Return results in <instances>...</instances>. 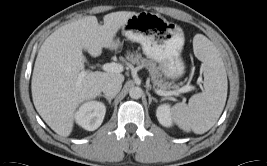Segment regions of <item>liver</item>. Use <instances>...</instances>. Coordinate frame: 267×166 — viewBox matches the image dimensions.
I'll use <instances>...</instances> for the list:
<instances>
[{"label":"liver","mask_w":267,"mask_h":166,"mask_svg":"<svg viewBox=\"0 0 267 166\" xmlns=\"http://www.w3.org/2000/svg\"><path fill=\"white\" fill-rule=\"evenodd\" d=\"M134 14L109 13L103 17V25L96 16H86L58 28L41 45L32 75V98L39 115L58 135L71 134L76 109L100 96L106 80H124L119 73L85 71L82 50L92 57L100 56L103 48L112 47L117 32Z\"/></svg>","instance_id":"1"}]
</instances>
